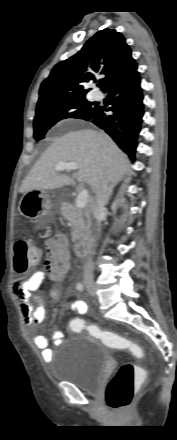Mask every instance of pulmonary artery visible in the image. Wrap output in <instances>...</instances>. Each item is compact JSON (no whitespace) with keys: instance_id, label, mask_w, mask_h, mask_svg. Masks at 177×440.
<instances>
[{"instance_id":"pulmonary-artery-1","label":"pulmonary artery","mask_w":177,"mask_h":440,"mask_svg":"<svg viewBox=\"0 0 177 440\" xmlns=\"http://www.w3.org/2000/svg\"><path fill=\"white\" fill-rule=\"evenodd\" d=\"M94 98H95L96 100H100V99H102V94L99 93V92H97V93H95Z\"/></svg>"}]
</instances>
